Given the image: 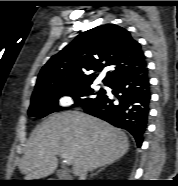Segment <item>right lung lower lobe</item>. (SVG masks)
Masks as SVG:
<instances>
[{
    "label": "right lung lower lobe",
    "mask_w": 178,
    "mask_h": 186,
    "mask_svg": "<svg viewBox=\"0 0 178 186\" xmlns=\"http://www.w3.org/2000/svg\"><path fill=\"white\" fill-rule=\"evenodd\" d=\"M107 86L112 89L115 99L104 92L101 97L83 106L84 111L127 130L140 147L147 128L151 98L146 62L120 73Z\"/></svg>",
    "instance_id": "98d812e1"
}]
</instances>
